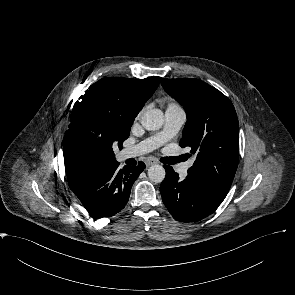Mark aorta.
<instances>
[{
	"instance_id": "762f6f07",
	"label": "aorta",
	"mask_w": 295,
	"mask_h": 295,
	"mask_svg": "<svg viewBox=\"0 0 295 295\" xmlns=\"http://www.w3.org/2000/svg\"><path fill=\"white\" fill-rule=\"evenodd\" d=\"M163 123V112L157 108L149 109L141 116L142 126L149 131L159 130ZM165 175V169L161 165H153L148 169V178L152 182L161 183L164 180Z\"/></svg>"
}]
</instances>
